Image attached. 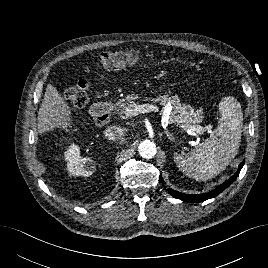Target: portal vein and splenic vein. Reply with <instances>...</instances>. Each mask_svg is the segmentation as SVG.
I'll use <instances>...</instances> for the list:
<instances>
[{"mask_svg":"<svg viewBox=\"0 0 268 268\" xmlns=\"http://www.w3.org/2000/svg\"><path fill=\"white\" fill-rule=\"evenodd\" d=\"M159 107L153 104H143V105H132L126 109V114L128 116H136L141 113H149V112H158ZM170 112L169 108L164 110V113L167 114ZM181 128L185 129L187 133L194 135L195 133H202L204 129L202 126H194V125H180ZM208 129L210 128L207 127Z\"/></svg>","mask_w":268,"mask_h":268,"instance_id":"portal-vein-and-splenic-vein-1","label":"portal vein and splenic vein"}]
</instances>
